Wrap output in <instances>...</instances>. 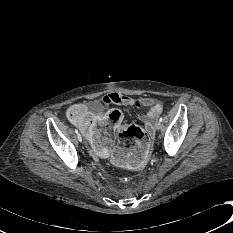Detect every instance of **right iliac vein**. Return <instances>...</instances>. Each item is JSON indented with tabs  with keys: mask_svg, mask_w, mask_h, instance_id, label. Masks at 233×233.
<instances>
[{
	"mask_svg": "<svg viewBox=\"0 0 233 233\" xmlns=\"http://www.w3.org/2000/svg\"><path fill=\"white\" fill-rule=\"evenodd\" d=\"M77 138L80 142L82 141V136L80 134H77Z\"/></svg>",
	"mask_w": 233,
	"mask_h": 233,
	"instance_id": "right-iliac-vein-1",
	"label": "right iliac vein"
}]
</instances>
